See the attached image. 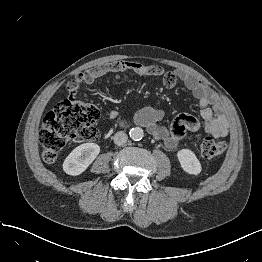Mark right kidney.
<instances>
[{"label": "right kidney", "mask_w": 262, "mask_h": 262, "mask_svg": "<svg viewBox=\"0 0 262 262\" xmlns=\"http://www.w3.org/2000/svg\"><path fill=\"white\" fill-rule=\"evenodd\" d=\"M99 152L100 147L95 143L79 145L64 160V172L72 176L80 175L95 160Z\"/></svg>", "instance_id": "right-kidney-1"}]
</instances>
